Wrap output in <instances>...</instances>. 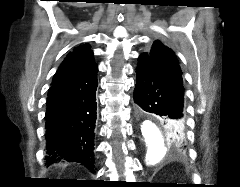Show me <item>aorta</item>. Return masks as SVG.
<instances>
[{
  "label": "aorta",
  "mask_w": 240,
  "mask_h": 187,
  "mask_svg": "<svg viewBox=\"0 0 240 187\" xmlns=\"http://www.w3.org/2000/svg\"><path fill=\"white\" fill-rule=\"evenodd\" d=\"M141 133L146 144V163L154 165L159 162L167 150L166 139L160 129L151 120H145L141 125Z\"/></svg>",
  "instance_id": "1"
}]
</instances>
